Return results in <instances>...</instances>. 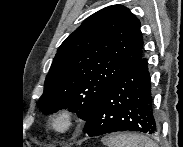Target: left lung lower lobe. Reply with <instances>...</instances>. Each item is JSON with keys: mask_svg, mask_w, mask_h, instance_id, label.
<instances>
[{"mask_svg": "<svg viewBox=\"0 0 183 147\" xmlns=\"http://www.w3.org/2000/svg\"><path fill=\"white\" fill-rule=\"evenodd\" d=\"M125 130L150 135L159 132L153 114L150 75L143 57L106 89L84 127L89 136Z\"/></svg>", "mask_w": 183, "mask_h": 147, "instance_id": "1", "label": "left lung lower lobe"}]
</instances>
